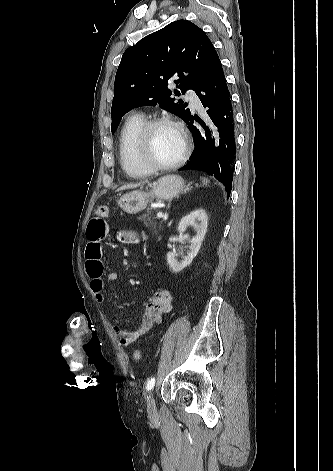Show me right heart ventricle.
<instances>
[{"instance_id": "right-heart-ventricle-1", "label": "right heart ventricle", "mask_w": 333, "mask_h": 471, "mask_svg": "<svg viewBox=\"0 0 333 471\" xmlns=\"http://www.w3.org/2000/svg\"><path fill=\"white\" fill-rule=\"evenodd\" d=\"M145 122L142 116L132 115L124 122L119 135V162L123 171L133 179L152 173L140 163L137 155L138 136Z\"/></svg>"}]
</instances>
